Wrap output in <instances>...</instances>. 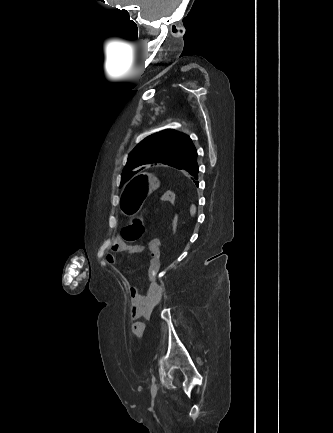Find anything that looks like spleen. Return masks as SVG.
<instances>
[{
  "label": "spleen",
  "mask_w": 333,
  "mask_h": 433,
  "mask_svg": "<svg viewBox=\"0 0 333 433\" xmlns=\"http://www.w3.org/2000/svg\"><path fill=\"white\" fill-rule=\"evenodd\" d=\"M191 214H192V216H195V214H196V207L195 206L191 207Z\"/></svg>",
  "instance_id": "obj_1"
}]
</instances>
